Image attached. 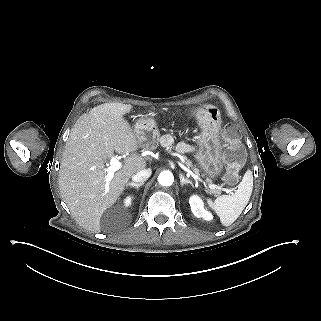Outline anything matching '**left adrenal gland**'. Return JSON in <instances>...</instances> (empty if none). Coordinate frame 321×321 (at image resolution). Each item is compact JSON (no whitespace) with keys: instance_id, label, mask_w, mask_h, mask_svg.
Listing matches in <instances>:
<instances>
[{"instance_id":"obj_1","label":"left adrenal gland","mask_w":321,"mask_h":321,"mask_svg":"<svg viewBox=\"0 0 321 321\" xmlns=\"http://www.w3.org/2000/svg\"><path fill=\"white\" fill-rule=\"evenodd\" d=\"M190 185L192 188H194V185L191 183L190 180L186 179L184 174H180V186L183 187L184 185Z\"/></svg>"}]
</instances>
